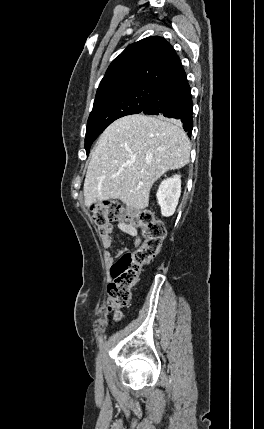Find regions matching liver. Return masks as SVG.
Here are the masks:
<instances>
[{
  "mask_svg": "<svg viewBox=\"0 0 264 429\" xmlns=\"http://www.w3.org/2000/svg\"><path fill=\"white\" fill-rule=\"evenodd\" d=\"M190 150L179 121L143 114L117 119L91 154L83 187L85 205L119 199L131 211L145 209L154 182L187 165ZM118 227L137 234L132 224L120 222Z\"/></svg>",
  "mask_w": 264,
  "mask_h": 429,
  "instance_id": "liver-1",
  "label": "liver"
}]
</instances>
